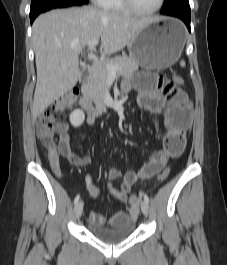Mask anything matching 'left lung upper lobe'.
Here are the masks:
<instances>
[{"label": "left lung upper lobe", "instance_id": "obj_1", "mask_svg": "<svg viewBox=\"0 0 227 265\" xmlns=\"http://www.w3.org/2000/svg\"><path fill=\"white\" fill-rule=\"evenodd\" d=\"M162 13H190L188 0H165Z\"/></svg>", "mask_w": 227, "mask_h": 265}]
</instances>
